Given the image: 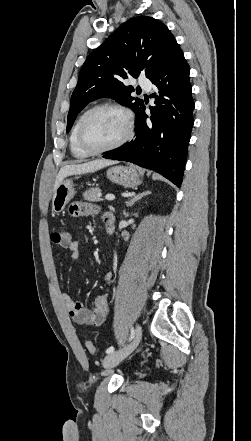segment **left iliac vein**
I'll return each instance as SVG.
<instances>
[{
    "mask_svg": "<svg viewBox=\"0 0 251 441\" xmlns=\"http://www.w3.org/2000/svg\"><path fill=\"white\" fill-rule=\"evenodd\" d=\"M141 337H142V329L140 325H137L136 335L133 342L121 350L113 351L108 355H106V357L103 359V367L105 369H111L117 366L122 360H124L129 354H131L136 349V347L140 343Z\"/></svg>",
    "mask_w": 251,
    "mask_h": 441,
    "instance_id": "obj_1",
    "label": "left iliac vein"
}]
</instances>
